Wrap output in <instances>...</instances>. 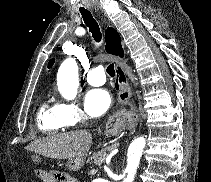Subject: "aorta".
Returning <instances> with one entry per match:
<instances>
[{
  "label": "aorta",
  "instance_id": "obj_1",
  "mask_svg": "<svg viewBox=\"0 0 211 182\" xmlns=\"http://www.w3.org/2000/svg\"><path fill=\"white\" fill-rule=\"evenodd\" d=\"M78 85L77 62L73 58H68L61 64L57 73L58 90L64 99L73 100L77 95ZM145 145L144 137H138L131 142L127 152V176L123 182L134 181Z\"/></svg>",
  "mask_w": 211,
  "mask_h": 182
}]
</instances>
